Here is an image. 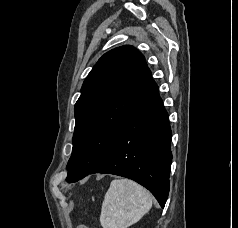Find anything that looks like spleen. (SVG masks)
<instances>
[{
    "label": "spleen",
    "mask_w": 238,
    "mask_h": 228,
    "mask_svg": "<svg viewBox=\"0 0 238 228\" xmlns=\"http://www.w3.org/2000/svg\"><path fill=\"white\" fill-rule=\"evenodd\" d=\"M152 207V196L130 179L111 182L102 203L100 223L103 228H128Z\"/></svg>",
    "instance_id": "obj_1"
}]
</instances>
